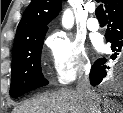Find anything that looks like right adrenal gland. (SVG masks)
I'll use <instances>...</instances> for the list:
<instances>
[{"mask_svg":"<svg viewBox=\"0 0 123 113\" xmlns=\"http://www.w3.org/2000/svg\"><path fill=\"white\" fill-rule=\"evenodd\" d=\"M104 113H112L110 107H104ZM121 113H123V109L121 110Z\"/></svg>","mask_w":123,"mask_h":113,"instance_id":"2a0ac1e0","label":"right adrenal gland"}]
</instances>
